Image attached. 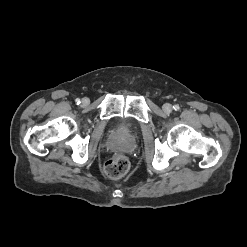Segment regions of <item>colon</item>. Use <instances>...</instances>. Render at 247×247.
Segmentation results:
<instances>
[{
	"label": "colon",
	"mask_w": 247,
	"mask_h": 247,
	"mask_svg": "<svg viewBox=\"0 0 247 247\" xmlns=\"http://www.w3.org/2000/svg\"><path fill=\"white\" fill-rule=\"evenodd\" d=\"M129 168V162L126 157L120 154L113 155L103 165V171L111 179L123 177Z\"/></svg>",
	"instance_id": "obj_1"
}]
</instances>
